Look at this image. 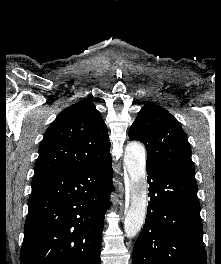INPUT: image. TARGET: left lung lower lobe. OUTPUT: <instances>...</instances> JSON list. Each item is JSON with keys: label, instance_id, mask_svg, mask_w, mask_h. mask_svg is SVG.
Listing matches in <instances>:
<instances>
[{"label": "left lung lower lobe", "instance_id": "obj_1", "mask_svg": "<svg viewBox=\"0 0 221 264\" xmlns=\"http://www.w3.org/2000/svg\"><path fill=\"white\" fill-rule=\"evenodd\" d=\"M146 169L150 201L132 264H206L195 179Z\"/></svg>", "mask_w": 221, "mask_h": 264}]
</instances>
